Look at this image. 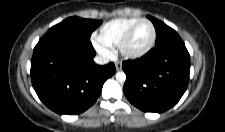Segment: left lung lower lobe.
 I'll return each mask as SVG.
<instances>
[{"instance_id":"0a47b994","label":"left lung lower lobe","mask_w":225,"mask_h":132,"mask_svg":"<svg viewBox=\"0 0 225 132\" xmlns=\"http://www.w3.org/2000/svg\"><path fill=\"white\" fill-rule=\"evenodd\" d=\"M153 21L159 22L155 18ZM122 65L127 75L124 94L144 112H164L186 91L190 55L181 38L155 45L143 57Z\"/></svg>"}]
</instances>
